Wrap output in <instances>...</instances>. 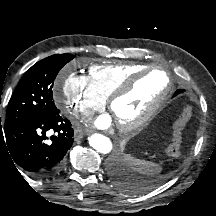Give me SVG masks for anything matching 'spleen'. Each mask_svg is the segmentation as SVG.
Segmentation results:
<instances>
[{"label":"spleen","instance_id":"3e777b00","mask_svg":"<svg viewBox=\"0 0 216 216\" xmlns=\"http://www.w3.org/2000/svg\"><path fill=\"white\" fill-rule=\"evenodd\" d=\"M125 161L134 171L144 175H154L161 171V167L158 164L141 160L131 155H125Z\"/></svg>","mask_w":216,"mask_h":216}]
</instances>
